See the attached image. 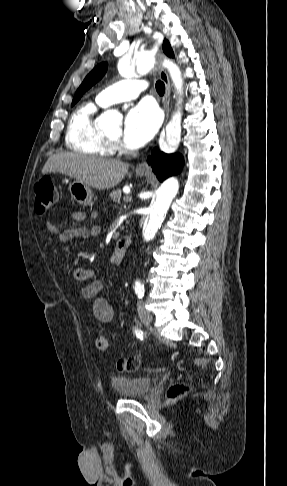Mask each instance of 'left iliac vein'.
<instances>
[{"mask_svg":"<svg viewBox=\"0 0 287 486\" xmlns=\"http://www.w3.org/2000/svg\"><path fill=\"white\" fill-rule=\"evenodd\" d=\"M137 310L142 323L145 325H149L152 322L153 317L152 314L145 308L143 300H139L137 304Z\"/></svg>","mask_w":287,"mask_h":486,"instance_id":"1","label":"left iliac vein"}]
</instances>
